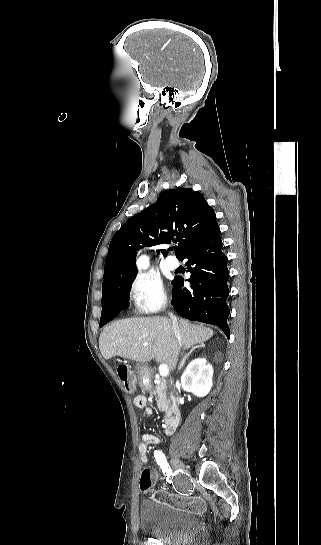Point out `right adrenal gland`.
<instances>
[{
    "mask_svg": "<svg viewBox=\"0 0 321 545\" xmlns=\"http://www.w3.org/2000/svg\"><path fill=\"white\" fill-rule=\"evenodd\" d=\"M204 347H205L204 343H198V345H196V347H193V349H191L190 353H187V355H185V357H183L181 363H179L178 371H181L182 367H184V365H185L186 359H188V357H190V355H192V353H193V351H195V349H204Z\"/></svg>",
    "mask_w": 321,
    "mask_h": 545,
    "instance_id": "right-adrenal-gland-1",
    "label": "right adrenal gland"
}]
</instances>
